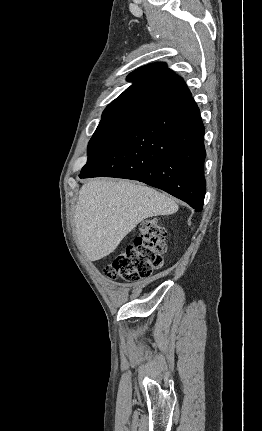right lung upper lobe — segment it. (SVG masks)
I'll list each match as a JSON object with an SVG mask.
<instances>
[{
	"label": "right lung upper lobe",
	"instance_id": "right-lung-upper-lobe-1",
	"mask_svg": "<svg viewBox=\"0 0 262 431\" xmlns=\"http://www.w3.org/2000/svg\"><path fill=\"white\" fill-rule=\"evenodd\" d=\"M127 80L133 84L106 107L99 125H135L191 98L183 79L165 63L140 67Z\"/></svg>",
	"mask_w": 262,
	"mask_h": 431
}]
</instances>
